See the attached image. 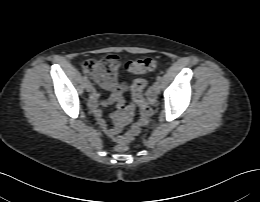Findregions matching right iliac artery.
I'll return each mask as SVG.
<instances>
[{"label": "right iliac artery", "mask_w": 260, "mask_h": 202, "mask_svg": "<svg viewBox=\"0 0 260 202\" xmlns=\"http://www.w3.org/2000/svg\"><path fill=\"white\" fill-rule=\"evenodd\" d=\"M83 79H84V81H85V82L87 81V77H86V76H84V78H83Z\"/></svg>", "instance_id": "right-iliac-artery-1"}]
</instances>
